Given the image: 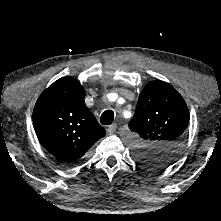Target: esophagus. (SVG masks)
Here are the masks:
<instances>
[{
    "label": "esophagus",
    "instance_id": "1",
    "mask_svg": "<svg viewBox=\"0 0 221 221\" xmlns=\"http://www.w3.org/2000/svg\"><path fill=\"white\" fill-rule=\"evenodd\" d=\"M116 128H117L116 124L110 125V126L107 128L108 134H110V135L113 134V133L116 131Z\"/></svg>",
    "mask_w": 221,
    "mask_h": 221
}]
</instances>
